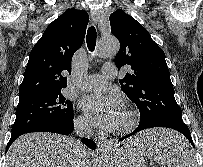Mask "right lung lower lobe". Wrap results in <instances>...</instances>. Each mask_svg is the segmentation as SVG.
<instances>
[{
	"label": "right lung lower lobe",
	"mask_w": 203,
	"mask_h": 167,
	"mask_svg": "<svg viewBox=\"0 0 203 167\" xmlns=\"http://www.w3.org/2000/svg\"><path fill=\"white\" fill-rule=\"evenodd\" d=\"M73 130H74V123H73V119H71V120H68V121H65L62 123L50 124V125L38 127L29 132H52V133L68 135V134L72 133ZM29 132H26V133H29ZM21 135L11 137V139L9 140V142L7 144L6 151L11 146V144ZM82 142L85 145H87L89 148H91L92 150H95V147H96L95 143L91 139L82 138Z\"/></svg>",
	"instance_id": "right-lung-lower-lobe-1"
}]
</instances>
